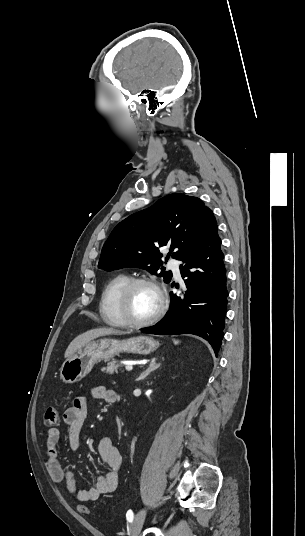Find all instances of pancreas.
Returning a JSON list of instances; mask_svg holds the SVG:
<instances>
[{
	"label": "pancreas",
	"instance_id": "pancreas-1",
	"mask_svg": "<svg viewBox=\"0 0 305 536\" xmlns=\"http://www.w3.org/2000/svg\"><path fill=\"white\" fill-rule=\"evenodd\" d=\"M123 364H117V362H109L107 364V368H103V372H107V374H114V372H117L118 368H122Z\"/></svg>",
	"mask_w": 305,
	"mask_h": 536
}]
</instances>
